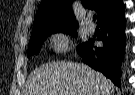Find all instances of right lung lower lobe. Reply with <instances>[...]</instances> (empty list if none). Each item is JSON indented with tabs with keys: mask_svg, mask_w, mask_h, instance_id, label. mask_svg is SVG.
Wrapping results in <instances>:
<instances>
[{
	"mask_svg": "<svg viewBox=\"0 0 135 95\" xmlns=\"http://www.w3.org/2000/svg\"><path fill=\"white\" fill-rule=\"evenodd\" d=\"M101 35L98 40L103 42L102 47H94V39H89L77 53L83 62L96 71L102 72L107 78L120 85V62L123 56L124 45V16L103 22L99 25Z\"/></svg>",
	"mask_w": 135,
	"mask_h": 95,
	"instance_id": "1",
	"label": "right lung lower lobe"
}]
</instances>
